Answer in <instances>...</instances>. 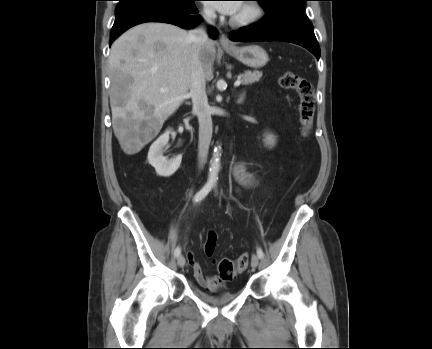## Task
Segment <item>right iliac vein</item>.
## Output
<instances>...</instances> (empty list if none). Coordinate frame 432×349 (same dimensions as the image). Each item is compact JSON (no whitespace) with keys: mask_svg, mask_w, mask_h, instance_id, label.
Here are the masks:
<instances>
[{"mask_svg":"<svg viewBox=\"0 0 432 349\" xmlns=\"http://www.w3.org/2000/svg\"><path fill=\"white\" fill-rule=\"evenodd\" d=\"M177 264H178L179 267H183L185 265V258H184V256L181 255V256L178 257Z\"/></svg>","mask_w":432,"mask_h":349,"instance_id":"1","label":"right iliac vein"}]
</instances>
